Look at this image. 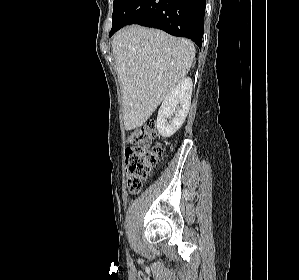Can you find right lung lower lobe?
<instances>
[{"instance_id":"1","label":"right lung lower lobe","mask_w":299,"mask_h":280,"mask_svg":"<svg viewBox=\"0 0 299 280\" xmlns=\"http://www.w3.org/2000/svg\"><path fill=\"white\" fill-rule=\"evenodd\" d=\"M206 0H125L109 33L128 24L153 27L202 46Z\"/></svg>"}]
</instances>
